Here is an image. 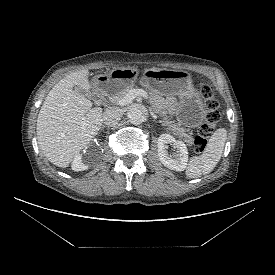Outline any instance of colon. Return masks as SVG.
<instances>
[{"instance_id":"obj_1","label":"colon","mask_w":275,"mask_h":275,"mask_svg":"<svg viewBox=\"0 0 275 275\" xmlns=\"http://www.w3.org/2000/svg\"><path fill=\"white\" fill-rule=\"evenodd\" d=\"M200 98L204 104L203 123L198 130V134L194 140V150L197 153H202L207 145V140L215 130L219 121V105L214 98L211 87L207 84H201Z\"/></svg>"}]
</instances>
